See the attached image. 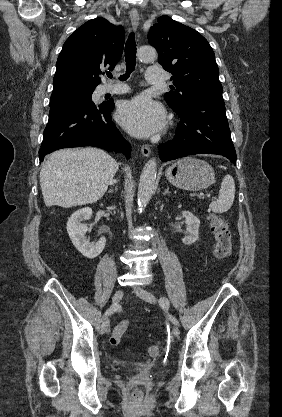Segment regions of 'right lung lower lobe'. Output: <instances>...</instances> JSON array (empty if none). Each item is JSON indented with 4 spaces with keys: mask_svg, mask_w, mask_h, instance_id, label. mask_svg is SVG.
<instances>
[{
    "mask_svg": "<svg viewBox=\"0 0 282 417\" xmlns=\"http://www.w3.org/2000/svg\"><path fill=\"white\" fill-rule=\"evenodd\" d=\"M113 102L95 104L75 100L50 107L49 121L39 150L40 162L46 154L69 147L96 146L130 157V144L111 119Z\"/></svg>",
    "mask_w": 282,
    "mask_h": 417,
    "instance_id": "right-lung-lower-lobe-1",
    "label": "right lung lower lobe"
}]
</instances>
